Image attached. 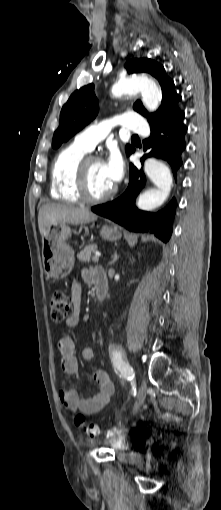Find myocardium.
<instances>
[{
    "label": "myocardium",
    "instance_id": "f54148a6",
    "mask_svg": "<svg viewBox=\"0 0 221 510\" xmlns=\"http://www.w3.org/2000/svg\"><path fill=\"white\" fill-rule=\"evenodd\" d=\"M98 161L101 162V159L95 155H85L77 164V167L75 169V176H74V188L76 191V194L79 198V200L86 204H101L104 202H107L108 200L112 199L116 192L117 188L114 187L111 191L108 193L99 196V197H93L89 194L88 191V166L91 162Z\"/></svg>",
    "mask_w": 221,
    "mask_h": 510
}]
</instances>
